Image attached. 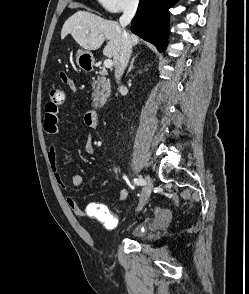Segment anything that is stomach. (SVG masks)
<instances>
[{
    "instance_id": "0dacf381",
    "label": "stomach",
    "mask_w": 249,
    "mask_h": 294,
    "mask_svg": "<svg viewBox=\"0 0 249 294\" xmlns=\"http://www.w3.org/2000/svg\"><path fill=\"white\" fill-rule=\"evenodd\" d=\"M92 61L93 55L91 52L86 50H78L76 54V62L81 69H85V67L91 66Z\"/></svg>"
}]
</instances>
